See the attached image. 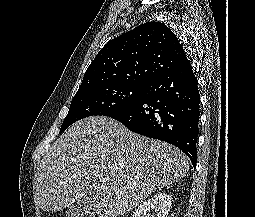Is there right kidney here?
Wrapping results in <instances>:
<instances>
[{
  "instance_id": "ca27d5eb",
  "label": "right kidney",
  "mask_w": 255,
  "mask_h": 217,
  "mask_svg": "<svg viewBox=\"0 0 255 217\" xmlns=\"http://www.w3.org/2000/svg\"><path fill=\"white\" fill-rule=\"evenodd\" d=\"M171 196L164 192H157L154 196L142 203L133 213L132 217H168L171 206ZM154 211L150 215V211Z\"/></svg>"
}]
</instances>
